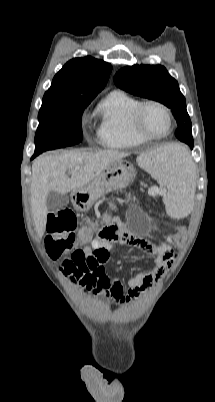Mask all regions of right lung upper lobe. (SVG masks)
Returning a JSON list of instances; mask_svg holds the SVG:
<instances>
[{
	"mask_svg": "<svg viewBox=\"0 0 215 402\" xmlns=\"http://www.w3.org/2000/svg\"><path fill=\"white\" fill-rule=\"evenodd\" d=\"M112 66L90 56L68 61L54 76L44 98H94L106 85Z\"/></svg>",
	"mask_w": 215,
	"mask_h": 402,
	"instance_id": "1",
	"label": "right lung upper lobe"
}]
</instances>
